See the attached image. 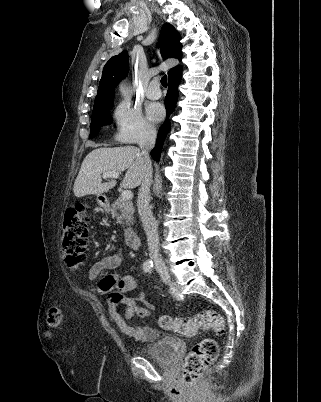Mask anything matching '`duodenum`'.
<instances>
[{"instance_id":"1","label":"duodenum","mask_w":321,"mask_h":402,"mask_svg":"<svg viewBox=\"0 0 321 402\" xmlns=\"http://www.w3.org/2000/svg\"><path fill=\"white\" fill-rule=\"evenodd\" d=\"M100 204L107 207L109 206L108 201L104 197H100ZM124 242L125 244L132 249H138L140 246V240L138 234L132 229H126L124 231Z\"/></svg>"}]
</instances>
